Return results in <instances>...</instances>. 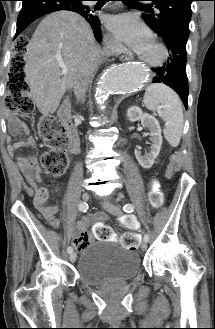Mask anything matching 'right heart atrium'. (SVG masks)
I'll list each match as a JSON object with an SVG mask.
<instances>
[{"mask_svg": "<svg viewBox=\"0 0 215 329\" xmlns=\"http://www.w3.org/2000/svg\"><path fill=\"white\" fill-rule=\"evenodd\" d=\"M107 43L111 48H116V42L111 36H107Z\"/></svg>", "mask_w": 215, "mask_h": 329, "instance_id": "right-heart-atrium-1", "label": "right heart atrium"}]
</instances>
